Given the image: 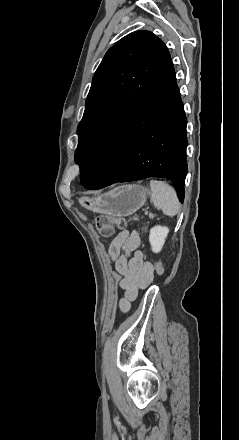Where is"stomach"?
Segmentation results:
<instances>
[{"label":"stomach","mask_w":239,"mask_h":440,"mask_svg":"<svg viewBox=\"0 0 239 440\" xmlns=\"http://www.w3.org/2000/svg\"><path fill=\"white\" fill-rule=\"evenodd\" d=\"M148 194L147 188H143V186L127 184V186H118V188L101 194L97 198L83 196V198H79V202L83 208L90 210V212L125 218L144 206Z\"/></svg>","instance_id":"0dacf381"}]
</instances>
